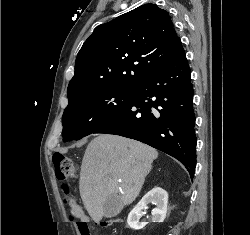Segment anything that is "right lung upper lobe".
<instances>
[{"label":"right lung upper lobe","instance_id":"cb5924a9","mask_svg":"<svg viewBox=\"0 0 250 235\" xmlns=\"http://www.w3.org/2000/svg\"><path fill=\"white\" fill-rule=\"evenodd\" d=\"M179 41L168 12L155 4L99 25L78 52L69 102L96 90L136 88L169 61Z\"/></svg>","mask_w":250,"mask_h":235}]
</instances>
